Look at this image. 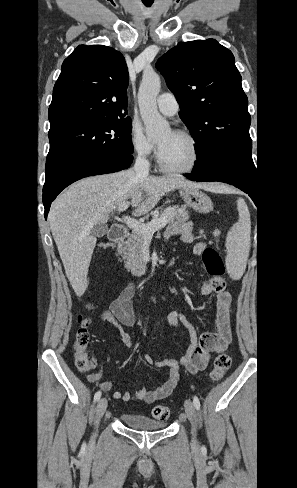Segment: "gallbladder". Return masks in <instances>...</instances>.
I'll return each instance as SVG.
<instances>
[{"label":"gallbladder","mask_w":297,"mask_h":488,"mask_svg":"<svg viewBox=\"0 0 297 488\" xmlns=\"http://www.w3.org/2000/svg\"><path fill=\"white\" fill-rule=\"evenodd\" d=\"M108 226L106 224L97 223L91 230V233L96 237H103L107 234Z\"/></svg>","instance_id":"obj_1"}]
</instances>
